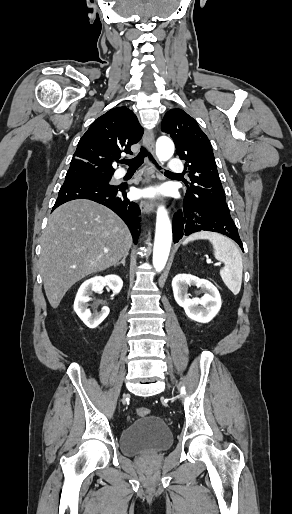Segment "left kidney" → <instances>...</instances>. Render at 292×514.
I'll return each mask as SVG.
<instances>
[{
  "label": "left kidney",
  "instance_id": "1",
  "mask_svg": "<svg viewBox=\"0 0 292 514\" xmlns=\"http://www.w3.org/2000/svg\"><path fill=\"white\" fill-rule=\"evenodd\" d=\"M189 286H197L204 292L203 298H192L190 300L188 292ZM172 288L174 298L185 310L188 318L200 322V324H207L215 318L221 308L220 294L208 280H200L191 274H178L172 280Z\"/></svg>",
  "mask_w": 292,
  "mask_h": 514
}]
</instances>
